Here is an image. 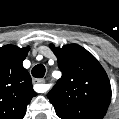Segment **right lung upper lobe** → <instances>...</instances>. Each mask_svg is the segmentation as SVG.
Returning a JSON list of instances; mask_svg holds the SVG:
<instances>
[{"mask_svg":"<svg viewBox=\"0 0 119 119\" xmlns=\"http://www.w3.org/2000/svg\"><path fill=\"white\" fill-rule=\"evenodd\" d=\"M29 48L5 45L0 48V119H22L36 96L32 80L22 62Z\"/></svg>","mask_w":119,"mask_h":119,"instance_id":"right-lung-upper-lobe-1","label":"right lung upper lobe"}]
</instances>
